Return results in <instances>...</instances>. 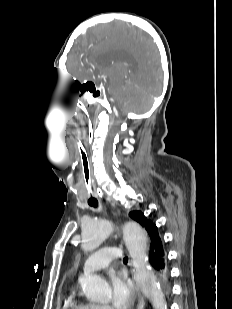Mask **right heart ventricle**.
I'll return each instance as SVG.
<instances>
[{"instance_id":"right-heart-ventricle-1","label":"right heart ventricle","mask_w":232,"mask_h":309,"mask_svg":"<svg viewBox=\"0 0 232 309\" xmlns=\"http://www.w3.org/2000/svg\"><path fill=\"white\" fill-rule=\"evenodd\" d=\"M68 309H99V305L88 299L82 298L76 292L69 296Z\"/></svg>"}]
</instances>
